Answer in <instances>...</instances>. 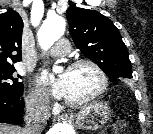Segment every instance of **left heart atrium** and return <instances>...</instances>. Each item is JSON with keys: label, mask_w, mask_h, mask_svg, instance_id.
Listing matches in <instances>:
<instances>
[{"label": "left heart atrium", "mask_w": 153, "mask_h": 134, "mask_svg": "<svg viewBox=\"0 0 153 134\" xmlns=\"http://www.w3.org/2000/svg\"><path fill=\"white\" fill-rule=\"evenodd\" d=\"M38 80L40 83L47 85L55 97L62 98L65 96L66 80H65L64 76H60L55 81L50 82L48 74L46 72H44L40 75Z\"/></svg>", "instance_id": "left-heart-atrium-1"}]
</instances>
